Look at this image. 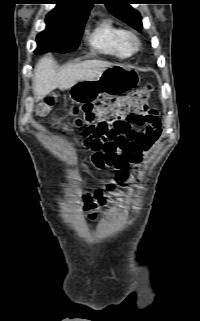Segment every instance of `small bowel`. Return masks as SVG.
<instances>
[{
	"instance_id": "small-bowel-1",
	"label": "small bowel",
	"mask_w": 200,
	"mask_h": 321,
	"mask_svg": "<svg viewBox=\"0 0 200 321\" xmlns=\"http://www.w3.org/2000/svg\"><path fill=\"white\" fill-rule=\"evenodd\" d=\"M161 136V122L155 110L132 115L114 124L100 123L84 132V145L107 163L124 167L138 164L143 154Z\"/></svg>"
}]
</instances>
